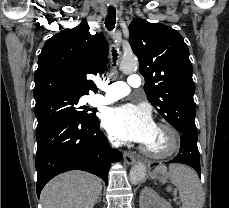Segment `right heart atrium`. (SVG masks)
<instances>
[{"label":"right heart atrium","mask_w":229,"mask_h":208,"mask_svg":"<svg viewBox=\"0 0 229 208\" xmlns=\"http://www.w3.org/2000/svg\"><path fill=\"white\" fill-rule=\"evenodd\" d=\"M109 141L113 145H116L117 144V140L115 138H113V137H109Z\"/></svg>","instance_id":"d8ad5b80"}]
</instances>
